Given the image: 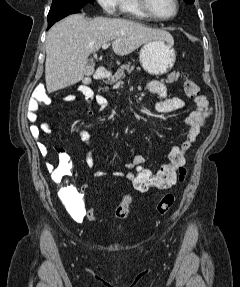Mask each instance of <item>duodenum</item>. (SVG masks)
Masks as SVG:
<instances>
[{"label": "duodenum", "mask_w": 240, "mask_h": 287, "mask_svg": "<svg viewBox=\"0 0 240 287\" xmlns=\"http://www.w3.org/2000/svg\"><path fill=\"white\" fill-rule=\"evenodd\" d=\"M107 74V69L104 66H99L97 67L94 75H93V79L94 80H100L103 79Z\"/></svg>", "instance_id": "1"}]
</instances>
